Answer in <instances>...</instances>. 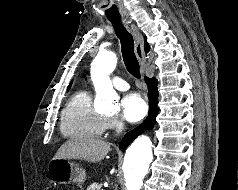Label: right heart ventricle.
Returning a JSON list of instances; mask_svg holds the SVG:
<instances>
[{
    "label": "right heart ventricle",
    "mask_w": 238,
    "mask_h": 190,
    "mask_svg": "<svg viewBox=\"0 0 238 190\" xmlns=\"http://www.w3.org/2000/svg\"><path fill=\"white\" fill-rule=\"evenodd\" d=\"M107 117L92 106L85 90L72 95L61 115V132L67 137L97 138L107 129Z\"/></svg>",
    "instance_id": "right-heart-ventricle-1"
}]
</instances>
